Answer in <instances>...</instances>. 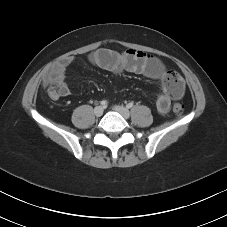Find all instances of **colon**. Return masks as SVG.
I'll use <instances>...</instances> for the list:
<instances>
[{
	"label": "colon",
	"mask_w": 227,
	"mask_h": 227,
	"mask_svg": "<svg viewBox=\"0 0 227 227\" xmlns=\"http://www.w3.org/2000/svg\"><path fill=\"white\" fill-rule=\"evenodd\" d=\"M168 77L173 79H178L180 76L173 71H169ZM50 90L51 89L49 88L48 93L50 92ZM172 110L176 115H182L184 113V106L181 103H174L172 106Z\"/></svg>",
	"instance_id": "colon-1"
}]
</instances>
